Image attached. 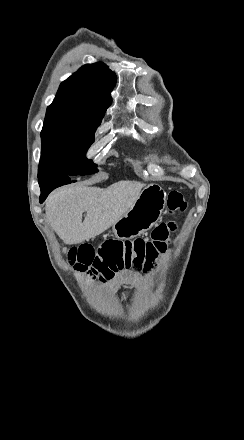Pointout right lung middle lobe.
I'll list each match as a JSON object with an SVG mask.
<instances>
[{"label": "right lung middle lobe", "mask_w": 244, "mask_h": 440, "mask_svg": "<svg viewBox=\"0 0 244 440\" xmlns=\"http://www.w3.org/2000/svg\"><path fill=\"white\" fill-rule=\"evenodd\" d=\"M105 111L75 105L48 107L41 132L42 152L38 178L96 173L97 165L86 158Z\"/></svg>", "instance_id": "right-lung-middle-lobe-1"}]
</instances>
